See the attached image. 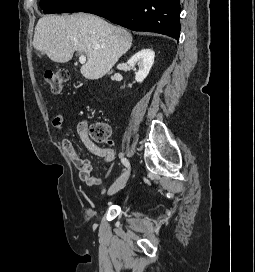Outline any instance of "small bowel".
Here are the masks:
<instances>
[{"label": "small bowel", "instance_id": "obj_1", "mask_svg": "<svg viewBox=\"0 0 255 272\" xmlns=\"http://www.w3.org/2000/svg\"><path fill=\"white\" fill-rule=\"evenodd\" d=\"M55 128L61 129L63 126V116L57 114L52 121ZM77 132L81 142L85 148L95 156L101 158L102 169L106 172L110 171L111 164L114 161L115 152L111 147H100L88 135L87 125L82 122L77 127ZM63 150L73 163V165L79 171V177L88 186H100L104 182L103 177H95L92 175V165L90 161L80 155L74 148L72 142L69 139H63L61 142Z\"/></svg>", "mask_w": 255, "mask_h": 272}]
</instances>
